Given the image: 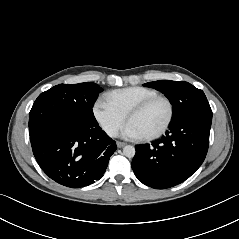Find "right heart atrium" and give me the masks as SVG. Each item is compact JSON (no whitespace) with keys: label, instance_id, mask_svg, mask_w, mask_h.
I'll return each instance as SVG.
<instances>
[{"label":"right heart atrium","instance_id":"right-heart-atrium-1","mask_svg":"<svg viewBox=\"0 0 239 239\" xmlns=\"http://www.w3.org/2000/svg\"><path fill=\"white\" fill-rule=\"evenodd\" d=\"M93 115L102 130L110 137L117 135L126 120V115L105 99H99L94 103Z\"/></svg>","mask_w":239,"mask_h":239}]
</instances>
